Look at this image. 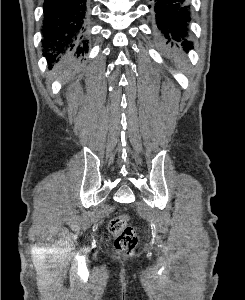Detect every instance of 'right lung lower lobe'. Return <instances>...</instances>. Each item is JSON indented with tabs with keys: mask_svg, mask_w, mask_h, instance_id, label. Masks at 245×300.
I'll return each instance as SVG.
<instances>
[{
	"mask_svg": "<svg viewBox=\"0 0 245 300\" xmlns=\"http://www.w3.org/2000/svg\"><path fill=\"white\" fill-rule=\"evenodd\" d=\"M44 53L49 63L67 52H87V0H45Z\"/></svg>",
	"mask_w": 245,
	"mask_h": 300,
	"instance_id": "1",
	"label": "right lung lower lobe"
}]
</instances>
